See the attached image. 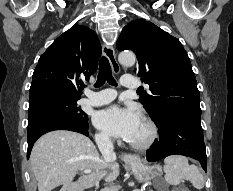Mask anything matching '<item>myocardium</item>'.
<instances>
[{"mask_svg": "<svg viewBox=\"0 0 233 191\" xmlns=\"http://www.w3.org/2000/svg\"><path fill=\"white\" fill-rule=\"evenodd\" d=\"M142 121L145 122L149 128V137L142 143L129 142L130 147L138 151H145L149 149L158 137V128L156 123L148 117H144Z\"/></svg>", "mask_w": 233, "mask_h": 191, "instance_id": "myocardium-1", "label": "myocardium"}]
</instances>
